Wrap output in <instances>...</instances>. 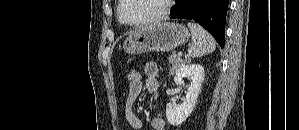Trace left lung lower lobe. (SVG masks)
<instances>
[{
  "instance_id": "0a47b994",
  "label": "left lung lower lobe",
  "mask_w": 299,
  "mask_h": 130,
  "mask_svg": "<svg viewBox=\"0 0 299 130\" xmlns=\"http://www.w3.org/2000/svg\"><path fill=\"white\" fill-rule=\"evenodd\" d=\"M229 0H176L171 18L194 20L208 30L221 48L225 43V21Z\"/></svg>"
}]
</instances>
